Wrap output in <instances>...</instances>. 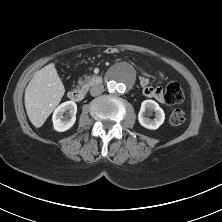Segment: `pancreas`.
Returning a JSON list of instances; mask_svg holds the SVG:
<instances>
[{
    "label": "pancreas",
    "instance_id": "pancreas-1",
    "mask_svg": "<svg viewBox=\"0 0 222 222\" xmlns=\"http://www.w3.org/2000/svg\"><path fill=\"white\" fill-rule=\"evenodd\" d=\"M95 80V76H86L85 77V80H79V85L86 88V87H89L93 81Z\"/></svg>",
    "mask_w": 222,
    "mask_h": 222
}]
</instances>
